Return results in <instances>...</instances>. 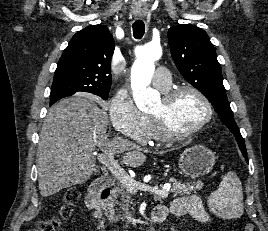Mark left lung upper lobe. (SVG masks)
Masks as SVG:
<instances>
[{"mask_svg":"<svg viewBox=\"0 0 268 231\" xmlns=\"http://www.w3.org/2000/svg\"><path fill=\"white\" fill-rule=\"evenodd\" d=\"M168 40L181 75L207 97L221 121L236 137L240 150L246 151L226 97L216 51L207 33L190 24L177 25L169 29Z\"/></svg>","mask_w":268,"mask_h":231,"instance_id":"obj_1","label":"left lung upper lobe"}]
</instances>
